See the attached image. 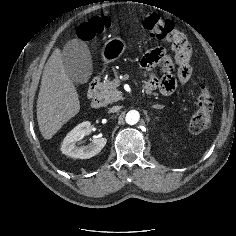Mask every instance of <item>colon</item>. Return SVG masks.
<instances>
[{
    "instance_id": "colon-1",
    "label": "colon",
    "mask_w": 236,
    "mask_h": 236,
    "mask_svg": "<svg viewBox=\"0 0 236 236\" xmlns=\"http://www.w3.org/2000/svg\"><path fill=\"white\" fill-rule=\"evenodd\" d=\"M141 23L152 38L170 42L176 53L182 52L189 45L187 39L175 29L170 20L156 14H149L142 16ZM110 27L111 22L107 18L92 17L78 27L76 36L80 40L89 42ZM183 79L186 81L185 77ZM213 106L212 93L208 87L203 86L198 96L197 110L192 114L189 122V129L192 133H201L209 128Z\"/></svg>"
}]
</instances>
